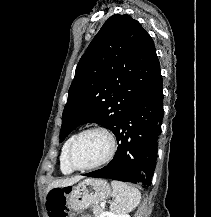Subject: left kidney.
I'll return each mask as SVG.
<instances>
[{
  "label": "left kidney",
  "instance_id": "obj_1",
  "mask_svg": "<svg viewBox=\"0 0 211 217\" xmlns=\"http://www.w3.org/2000/svg\"><path fill=\"white\" fill-rule=\"evenodd\" d=\"M100 217H130L129 215L127 214H123V215H117V214H114L112 212H103Z\"/></svg>",
  "mask_w": 211,
  "mask_h": 217
}]
</instances>
